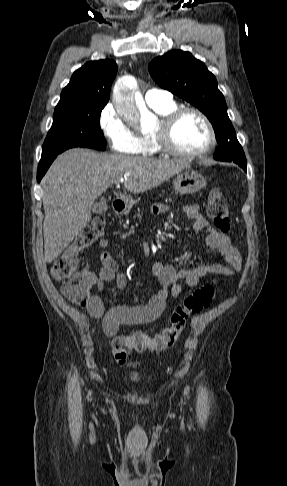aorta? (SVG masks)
I'll return each mask as SVG.
<instances>
[{
    "instance_id": "762f6f07",
    "label": "aorta",
    "mask_w": 287,
    "mask_h": 486,
    "mask_svg": "<svg viewBox=\"0 0 287 486\" xmlns=\"http://www.w3.org/2000/svg\"><path fill=\"white\" fill-rule=\"evenodd\" d=\"M113 101L117 113L128 123H140L142 128L155 125L156 117L146 108L138 91L130 88L125 80H121L115 85Z\"/></svg>"
}]
</instances>
